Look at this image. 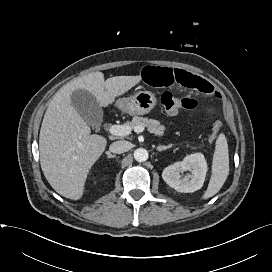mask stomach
Masks as SVG:
<instances>
[{
    "label": "stomach",
    "instance_id": "0dacf381",
    "mask_svg": "<svg viewBox=\"0 0 272 272\" xmlns=\"http://www.w3.org/2000/svg\"><path fill=\"white\" fill-rule=\"evenodd\" d=\"M157 104L156 96L150 91H139L131 97L120 98L116 105L130 115H144L149 113Z\"/></svg>",
    "mask_w": 272,
    "mask_h": 272
}]
</instances>
